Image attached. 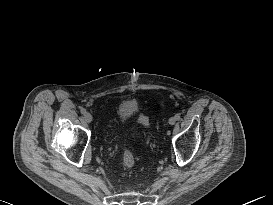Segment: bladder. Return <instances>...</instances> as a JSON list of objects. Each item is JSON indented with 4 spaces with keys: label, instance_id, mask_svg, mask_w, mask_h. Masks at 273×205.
Instances as JSON below:
<instances>
[{
    "label": "bladder",
    "instance_id": "obj_1",
    "mask_svg": "<svg viewBox=\"0 0 273 205\" xmlns=\"http://www.w3.org/2000/svg\"><path fill=\"white\" fill-rule=\"evenodd\" d=\"M138 103L135 100L124 99L117 105L118 117L125 121L130 119L137 111Z\"/></svg>",
    "mask_w": 273,
    "mask_h": 205
}]
</instances>
